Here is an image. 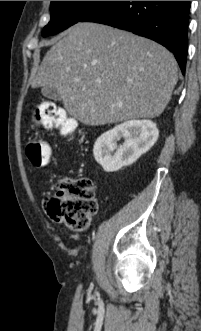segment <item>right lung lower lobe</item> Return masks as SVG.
<instances>
[{
    "label": "right lung lower lobe",
    "instance_id": "obj_1",
    "mask_svg": "<svg viewBox=\"0 0 201 331\" xmlns=\"http://www.w3.org/2000/svg\"><path fill=\"white\" fill-rule=\"evenodd\" d=\"M190 1H107L81 22H96L150 38L172 51L185 73Z\"/></svg>",
    "mask_w": 201,
    "mask_h": 331
}]
</instances>
